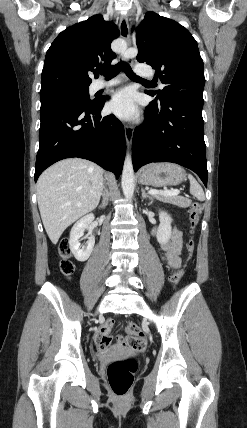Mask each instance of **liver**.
Returning <instances> with one entry per match:
<instances>
[{"label": "liver", "instance_id": "6515ba94", "mask_svg": "<svg viewBox=\"0 0 247 428\" xmlns=\"http://www.w3.org/2000/svg\"><path fill=\"white\" fill-rule=\"evenodd\" d=\"M102 190L103 170L79 158L57 162L40 175L38 206L53 244L68 226L97 207Z\"/></svg>", "mask_w": 247, "mask_h": 428}]
</instances>
